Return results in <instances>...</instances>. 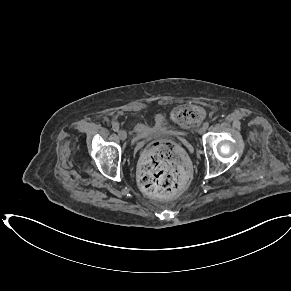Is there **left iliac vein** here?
<instances>
[{"mask_svg": "<svg viewBox=\"0 0 291 291\" xmlns=\"http://www.w3.org/2000/svg\"><path fill=\"white\" fill-rule=\"evenodd\" d=\"M205 131H206V128L204 126H202L198 129L199 134H203Z\"/></svg>", "mask_w": 291, "mask_h": 291, "instance_id": "left-iliac-vein-1", "label": "left iliac vein"}]
</instances>
